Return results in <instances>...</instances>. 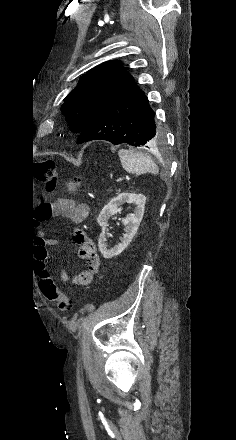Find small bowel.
I'll list each match as a JSON object with an SVG mask.
<instances>
[{"mask_svg":"<svg viewBox=\"0 0 236 440\" xmlns=\"http://www.w3.org/2000/svg\"><path fill=\"white\" fill-rule=\"evenodd\" d=\"M89 213V207L84 203H76L71 199H57L48 204H42L37 208V219L40 221L49 220L54 217H68L74 223H81L86 219ZM74 242L78 246V255L85 260L86 267L79 274L70 278L68 272L62 269L60 272L61 280L64 283L85 286L90 284L100 267V258L96 251L94 242L86 235L82 229H75L73 232ZM58 242L54 239H48V245L56 246ZM43 252V251H42ZM42 252L36 254L35 273L40 282L46 277L45 263Z\"/></svg>","mask_w":236,"mask_h":440,"instance_id":"c3829d8e","label":"small bowel"}]
</instances>
